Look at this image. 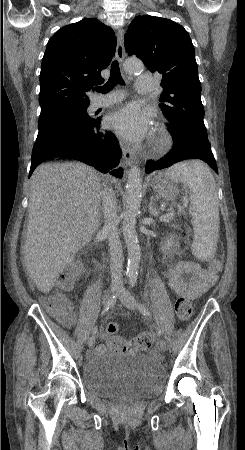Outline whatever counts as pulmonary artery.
Here are the masks:
<instances>
[{
  "instance_id": "obj_1",
  "label": "pulmonary artery",
  "mask_w": 245,
  "mask_h": 450,
  "mask_svg": "<svg viewBox=\"0 0 245 450\" xmlns=\"http://www.w3.org/2000/svg\"><path fill=\"white\" fill-rule=\"evenodd\" d=\"M155 85H156V78L154 76L149 74L139 75L136 79V92L142 95L152 94ZM121 100H122L121 94H108L104 96H99L98 99L95 101V105L97 107H105Z\"/></svg>"
}]
</instances>
